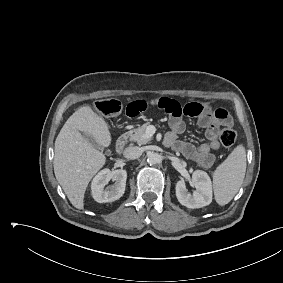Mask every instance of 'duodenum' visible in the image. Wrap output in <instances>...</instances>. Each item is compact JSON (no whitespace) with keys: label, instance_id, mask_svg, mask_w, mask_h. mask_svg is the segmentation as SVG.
<instances>
[{"label":"duodenum","instance_id":"duodenum-1","mask_svg":"<svg viewBox=\"0 0 283 283\" xmlns=\"http://www.w3.org/2000/svg\"><path fill=\"white\" fill-rule=\"evenodd\" d=\"M130 133L129 132H124L122 135H120V137L117 139L116 141V152L117 153H121L123 151V149L125 148L128 139H129Z\"/></svg>","mask_w":283,"mask_h":283}]
</instances>
